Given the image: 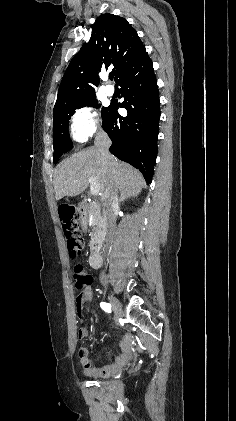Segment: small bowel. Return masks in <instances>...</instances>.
Wrapping results in <instances>:
<instances>
[{
  "instance_id": "c3829d8e",
  "label": "small bowel",
  "mask_w": 236,
  "mask_h": 421,
  "mask_svg": "<svg viewBox=\"0 0 236 421\" xmlns=\"http://www.w3.org/2000/svg\"><path fill=\"white\" fill-rule=\"evenodd\" d=\"M92 300H93V293H92L91 289L87 288L79 296L78 301H77V308L80 309L84 305L90 304L92 302ZM87 334H88L87 331L85 329H82L79 332V337L80 338H83V337L87 336ZM128 345H129V343H128ZM79 357H80V360H81V363H82L83 367L88 372L90 364H89V360L87 358L86 351L84 350V355L79 356Z\"/></svg>"
}]
</instances>
